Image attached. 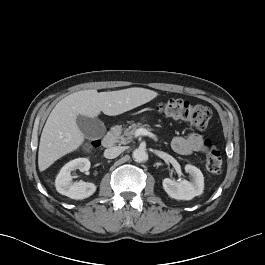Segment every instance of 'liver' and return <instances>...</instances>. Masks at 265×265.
Segmentation results:
<instances>
[{
	"label": "liver",
	"instance_id": "1",
	"mask_svg": "<svg viewBox=\"0 0 265 265\" xmlns=\"http://www.w3.org/2000/svg\"><path fill=\"white\" fill-rule=\"evenodd\" d=\"M158 93L139 87L118 91L100 92L96 89L72 93L60 100L50 113L43 128L38 167L46 170L64 155L78 149L84 142V135L77 125V116L97 117L101 112L109 116L122 114L141 106Z\"/></svg>",
	"mask_w": 265,
	"mask_h": 265
}]
</instances>
